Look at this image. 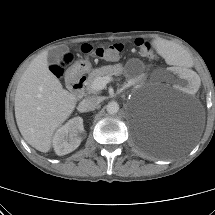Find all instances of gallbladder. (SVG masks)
Returning <instances> with one entry per match:
<instances>
[{
    "label": "gallbladder",
    "instance_id": "obj_1",
    "mask_svg": "<svg viewBox=\"0 0 215 215\" xmlns=\"http://www.w3.org/2000/svg\"><path fill=\"white\" fill-rule=\"evenodd\" d=\"M68 53V47L67 46H60L57 48L52 49L48 52V64H56L60 62V59Z\"/></svg>",
    "mask_w": 215,
    "mask_h": 215
}]
</instances>
